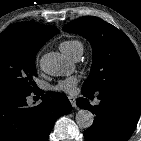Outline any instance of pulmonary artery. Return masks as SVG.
<instances>
[{
	"mask_svg": "<svg viewBox=\"0 0 141 141\" xmlns=\"http://www.w3.org/2000/svg\"><path fill=\"white\" fill-rule=\"evenodd\" d=\"M80 56H81V55H77V56H75L73 59L77 61V60L80 59Z\"/></svg>",
	"mask_w": 141,
	"mask_h": 141,
	"instance_id": "obj_1",
	"label": "pulmonary artery"
}]
</instances>
